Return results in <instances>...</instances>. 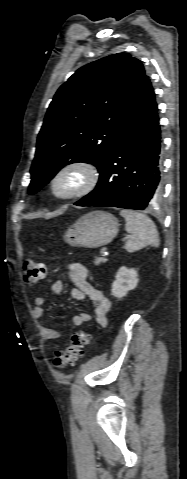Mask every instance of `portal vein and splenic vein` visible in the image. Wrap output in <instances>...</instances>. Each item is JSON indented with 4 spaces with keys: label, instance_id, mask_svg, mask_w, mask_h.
<instances>
[{
    "label": "portal vein and splenic vein",
    "instance_id": "obj_1",
    "mask_svg": "<svg viewBox=\"0 0 187 479\" xmlns=\"http://www.w3.org/2000/svg\"><path fill=\"white\" fill-rule=\"evenodd\" d=\"M128 237H129V236H128ZM100 253H101V256H102V257H105V256L107 255V250H106V248H103Z\"/></svg>",
    "mask_w": 187,
    "mask_h": 479
}]
</instances>
